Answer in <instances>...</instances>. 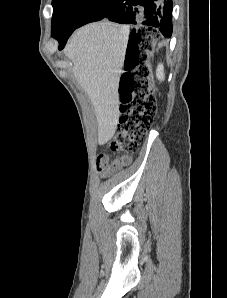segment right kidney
Instances as JSON below:
<instances>
[{
    "label": "right kidney",
    "mask_w": 227,
    "mask_h": 298,
    "mask_svg": "<svg viewBox=\"0 0 227 298\" xmlns=\"http://www.w3.org/2000/svg\"><path fill=\"white\" fill-rule=\"evenodd\" d=\"M164 67L162 64H159L157 66V70H156V77L158 78V80L163 81L164 80Z\"/></svg>",
    "instance_id": "1"
}]
</instances>
